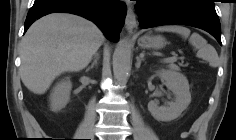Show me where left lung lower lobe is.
Returning a JSON list of instances; mask_svg holds the SVG:
<instances>
[{
    "label": "left lung lower lobe",
    "mask_w": 236,
    "mask_h": 140,
    "mask_svg": "<svg viewBox=\"0 0 236 140\" xmlns=\"http://www.w3.org/2000/svg\"><path fill=\"white\" fill-rule=\"evenodd\" d=\"M140 28L180 24L203 29L221 44V28L214 1L138 0L135 5Z\"/></svg>",
    "instance_id": "0a47b994"
}]
</instances>
